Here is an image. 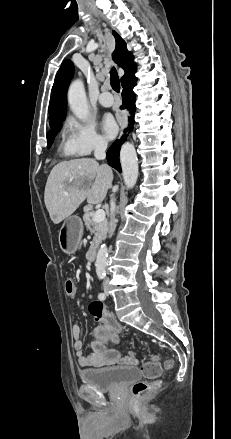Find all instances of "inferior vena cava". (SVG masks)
Instances as JSON below:
<instances>
[{"label": "inferior vena cava", "instance_id": "inferior-vena-cava-1", "mask_svg": "<svg viewBox=\"0 0 231 439\" xmlns=\"http://www.w3.org/2000/svg\"><path fill=\"white\" fill-rule=\"evenodd\" d=\"M106 148H107V143L105 141H97L94 149V156L97 160L105 159ZM110 206H111V213H110V223H109V234L110 236H112L116 229V218H115L116 204L114 198H111Z\"/></svg>", "mask_w": 231, "mask_h": 439}]
</instances>
